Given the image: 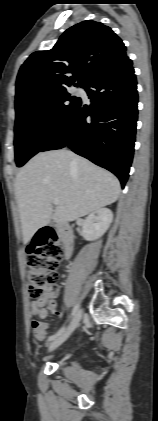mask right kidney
Here are the masks:
<instances>
[{"mask_svg": "<svg viewBox=\"0 0 158 421\" xmlns=\"http://www.w3.org/2000/svg\"><path fill=\"white\" fill-rule=\"evenodd\" d=\"M113 213L108 208H101L89 214L82 225V235L87 241L100 238L110 227Z\"/></svg>", "mask_w": 158, "mask_h": 421, "instance_id": "ca27d5eb", "label": "right kidney"}]
</instances>
